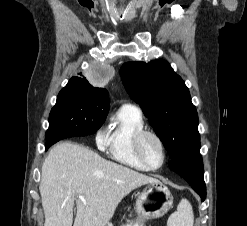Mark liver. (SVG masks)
<instances>
[{
    "instance_id": "obj_1",
    "label": "liver",
    "mask_w": 247,
    "mask_h": 226,
    "mask_svg": "<svg viewBox=\"0 0 247 226\" xmlns=\"http://www.w3.org/2000/svg\"><path fill=\"white\" fill-rule=\"evenodd\" d=\"M158 181L106 160L87 147L62 142L48 153L39 186L44 226H105L132 190ZM81 196L84 200L76 199Z\"/></svg>"
}]
</instances>
